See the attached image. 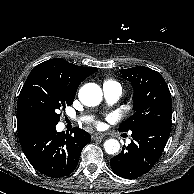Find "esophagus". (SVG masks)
<instances>
[{
    "label": "esophagus",
    "mask_w": 194,
    "mask_h": 194,
    "mask_svg": "<svg viewBox=\"0 0 194 194\" xmlns=\"http://www.w3.org/2000/svg\"><path fill=\"white\" fill-rule=\"evenodd\" d=\"M91 138L93 140H96V139H103L104 138V134L102 133H92L91 134Z\"/></svg>",
    "instance_id": "1"
}]
</instances>
